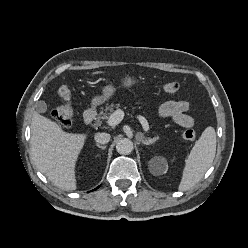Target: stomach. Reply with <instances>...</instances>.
Returning <instances> with one entry per match:
<instances>
[{"instance_id":"0dacf381","label":"stomach","mask_w":248,"mask_h":248,"mask_svg":"<svg viewBox=\"0 0 248 248\" xmlns=\"http://www.w3.org/2000/svg\"><path fill=\"white\" fill-rule=\"evenodd\" d=\"M137 82L136 78L134 77H126L123 80V85L125 87H131ZM115 87L112 84H109L103 88V93L101 96H97L92 100V104L94 106L104 103L105 101L109 100L113 94L115 93Z\"/></svg>"}]
</instances>
